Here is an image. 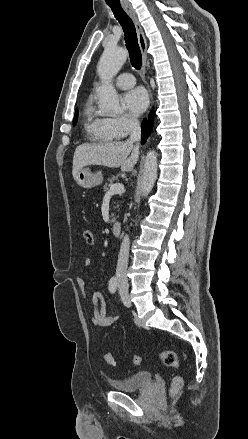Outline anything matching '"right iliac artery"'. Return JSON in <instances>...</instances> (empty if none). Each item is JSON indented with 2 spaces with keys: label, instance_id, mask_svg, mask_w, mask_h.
I'll return each instance as SVG.
<instances>
[{
  "label": "right iliac artery",
  "instance_id": "obj_1",
  "mask_svg": "<svg viewBox=\"0 0 248 439\" xmlns=\"http://www.w3.org/2000/svg\"><path fill=\"white\" fill-rule=\"evenodd\" d=\"M108 288H109V291L111 293H115L116 292V290H117V278L116 277H112L110 279Z\"/></svg>",
  "mask_w": 248,
  "mask_h": 439
}]
</instances>
